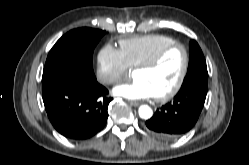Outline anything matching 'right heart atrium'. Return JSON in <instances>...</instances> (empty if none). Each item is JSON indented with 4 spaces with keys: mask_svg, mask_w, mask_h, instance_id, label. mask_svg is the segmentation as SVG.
Returning <instances> with one entry per match:
<instances>
[{
    "mask_svg": "<svg viewBox=\"0 0 249 165\" xmlns=\"http://www.w3.org/2000/svg\"><path fill=\"white\" fill-rule=\"evenodd\" d=\"M128 70L129 66L119 49L107 44L99 51L96 73L102 83L115 84L127 74Z\"/></svg>",
    "mask_w": 249,
    "mask_h": 165,
    "instance_id": "obj_1",
    "label": "right heart atrium"
}]
</instances>
